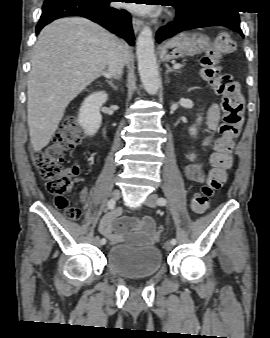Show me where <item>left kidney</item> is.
I'll return each instance as SVG.
<instances>
[{
	"label": "left kidney",
	"instance_id": "5707ae66",
	"mask_svg": "<svg viewBox=\"0 0 270 338\" xmlns=\"http://www.w3.org/2000/svg\"><path fill=\"white\" fill-rule=\"evenodd\" d=\"M201 120H202V118L199 116L198 119H197V123L200 124ZM189 132H190L191 135H196V133H197L196 127L195 126L191 127L189 129Z\"/></svg>",
	"mask_w": 270,
	"mask_h": 338
}]
</instances>
